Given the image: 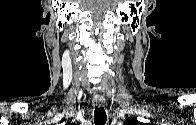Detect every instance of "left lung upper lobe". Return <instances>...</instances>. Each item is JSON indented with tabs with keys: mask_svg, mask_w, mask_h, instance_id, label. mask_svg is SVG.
I'll list each match as a JSON object with an SVG mask.
<instances>
[{
	"mask_svg": "<svg viewBox=\"0 0 196 125\" xmlns=\"http://www.w3.org/2000/svg\"><path fill=\"white\" fill-rule=\"evenodd\" d=\"M138 123H140V122L137 121L136 119L130 118V119H127L124 124H126V125H137Z\"/></svg>",
	"mask_w": 196,
	"mask_h": 125,
	"instance_id": "obj_1",
	"label": "left lung upper lobe"
}]
</instances>
